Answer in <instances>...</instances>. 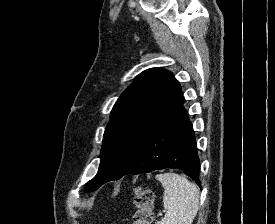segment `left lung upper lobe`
<instances>
[{
    "label": "left lung upper lobe",
    "instance_id": "1",
    "mask_svg": "<svg viewBox=\"0 0 275 224\" xmlns=\"http://www.w3.org/2000/svg\"><path fill=\"white\" fill-rule=\"evenodd\" d=\"M183 99L179 83L165 69L143 71L115 103L106 127L96 176L84 187L98 189L110 178L120 179L165 116Z\"/></svg>",
    "mask_w": 275,
    "mask_h": 224
}]
</instances>
